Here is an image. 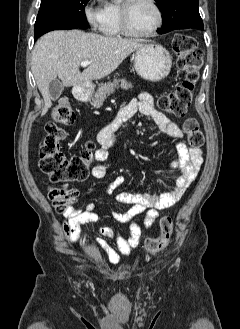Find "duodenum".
<instances>
[{
    "mask_svg": "<svg viewBox=\"0 0 240 329\" xmlns=\"http://www.w3.org/2000/svg\"><path fill=\"white\" fill-rule=\"evenodd\" d=\"M73 94L74 97L79 101H85L87 99L86 88L82 85L75 86Z\"/></svg>",
    "mask_w": 240,
    "mask_h": 329,
    "instance_id": "1",
    "label": "duodenum"
}]
</instances>
